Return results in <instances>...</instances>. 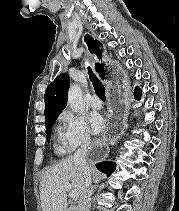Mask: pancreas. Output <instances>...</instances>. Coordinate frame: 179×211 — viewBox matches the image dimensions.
Returning <instances> with one entry per match:
<instances>
[{"label": "pancreas", "mask_w": 179, "mask_h": 211, "mask_svg": "<svg viewBox=\"0 0 179 211\" xmlns=\"http://www.w3.org/2000/svg\"><path fill=\"white\" fill-rule=\"evenodd\" d=\"M69 211H77V209L75 207H73L71 210Z\"/></svg>", "instance_id": "cf45deb5"}]
</instances>
